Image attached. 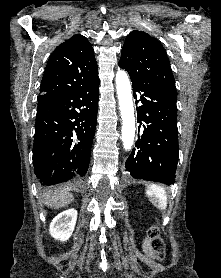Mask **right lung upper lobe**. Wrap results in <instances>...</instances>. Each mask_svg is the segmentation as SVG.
<instances>
[{"mask_svg": "<svg viewBox=\"0 0 221 278\" xmlns=\"http://www.w3.org/2000/svg\"><path fill=\"white\" fill-rule=\"evenodd\" d=\"M98 78L94 50L86 37L77 34L60 44L49 57L40 96L80 87Z\"/></svg>", "mask_w": 221, "mask_h": 278, "instance_id": "cb5924a9", "label": "right lung upper lobe"}]
</instances>
